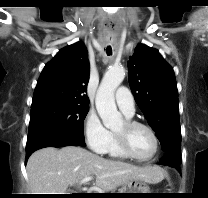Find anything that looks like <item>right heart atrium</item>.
I'll use <instances>...</instances> for the list:
<instances>
[{
  "mask_svg": "<svg viewBox=\"0 0 208 198\" xmlns=\"http://www.w3.org/2000/svg\"><path fill=\"white\" fill-rule=\"evenodd\" d=\"M83 127L88 147L97 154H104L109 145L111 133L103 126L95 112L87 113Z\"/></svg>",
  "mask_w": 208,
  "mask_h": 198,
  "instance_id": "right-heart-atrium-1",
  "label": "right heart atrium"
}]
</instances>
